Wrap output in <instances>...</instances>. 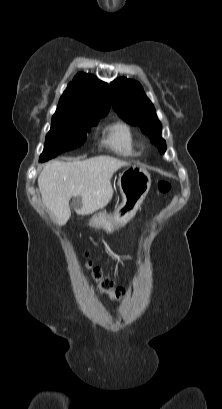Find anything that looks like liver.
Masks as SVG:
<instances>
[{
    "mask_svg": "<svg viewBox=\"0 0 222 409\" xmlns=\"http://www.w3.org/2000/svg\"><path fill=\"white\" fill-rule=\"evenodd\" d=\"M130 164L111 156L100 155L81 161H52L38 177L42 201L60 226L71 216L69 201L78 199L75 211L89 215L105 207L113 196V174Z\"/></svg>",
    "mask_w": 222,
    "mask_h": 409,
    "instance_id": "6515ba94",
    "label": "liver"
}]
</instances>
